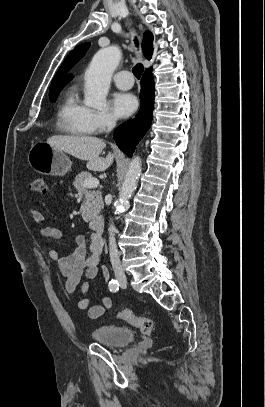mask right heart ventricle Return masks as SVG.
Masks as SVG:
<instances>
[{
	"label": "right heart ventricle",
	"instance_id": "e07e8e85",
	"mask_svg": "<svg viewBox=\"0 0 265 407\" xmlns=\"http://www.w3.org/2000/svg\"><path fill=\"white\" fill-rule=\"evenodd\" d=\"M87 108L78 99L76 88L70 87L57 110V126L67 134L85 137L94 133L88 122Z\"/></svg>",
	"mask_w": 265,
	"mask_h": 407
}]
</instances>
